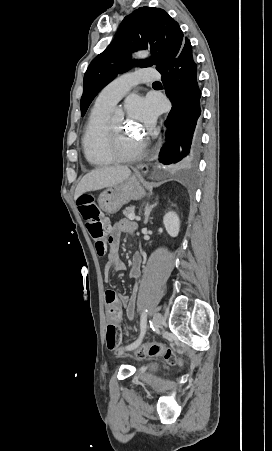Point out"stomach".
Returning a JSON list of instances; mask_svg holds the SVG:
<instances>
[{"mask_svg":"<svg viewBox=\"0 0 272 451\" xmlns=\"http://www.w3.org/2000/svg\"><path fill=\"white\" fill-rule=\"evenodd\" d=\"M142 180V176L134 174L131 178H126L123 182L113 184V186L104 190L98 198V204L102 212L116 214L123 204H128L130 200L144 198L146 192L140 184Z\"/></svg>","mask_w":272,"mask_h":451,"instance_id":"stomach-1","label":"stomach"}]
</instances>
